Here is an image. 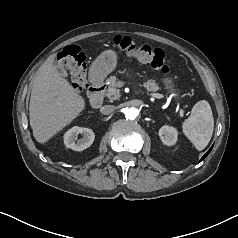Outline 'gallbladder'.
Instances as JSON below:
<instances>
[{"instance_id": "obj_1", "label": "gallbladder", "mask_w": 238, "mask_h": 238, "mask_svg": "<svg viewBox=\"0 0 238 238\" xmlns=\"http://www.w3.org/2000/svg\"><path fill=\"white\" fill-rule=\"evenodd\" d=\"M57 71L59 72L60 75L66 77L67 73L66 71L61 67V66H56Z\"/></svg>"}]
</instances>
